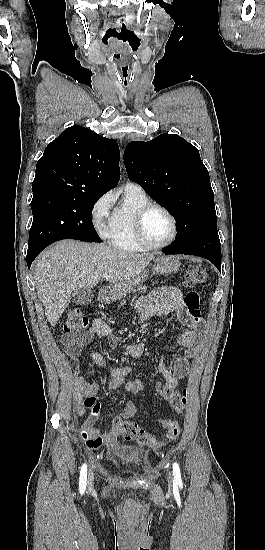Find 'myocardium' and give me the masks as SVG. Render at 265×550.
Masks as SVG:
<instances>
[{
	"label": "myocardium",
	"instance_id": "f54148a6",
	"mask_svg": "<svg viewBox=\"0 0 265 550\" xmlns=\"http://www.w3.org/2000/svg\"><path fill=\"white\" fill-rule=\"evenodd\" d=\"M155 209L163 211L169 217V219L171 221V227H172L171 235H170L169 239L167 241H165L164 243H162V244H153V243L149 242L148 239L146 238L145 231H144L145 218H146V216L148 215V213L150 211L155 210ZM133 228H134V234H135V237H136V240L138 241V243L143 248L151 249V250L163 249V248L171 245L175 241V239L177 237V233H178L177 220H176L174 214L168 208H166L165 206H163L161 204H158V203H152V202L142 206L136 212V215H135V218H134V223H133Z\"/></svg>",
	"mask_w": 265,
	"mask_h": 550
}]
</instances>
